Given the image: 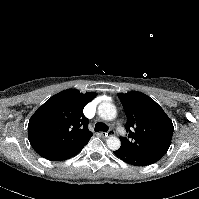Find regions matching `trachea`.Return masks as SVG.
I'll return each mask as SVG.
<instances>
[{
  "label": "trachea",
  "instance_id": "trachea-1",
  "mask_svg": "<svg viewBox=\"0 0 199 199\" xmlns=\"http://www.w3.org/2000/svg\"><path fill=\"white\" fill-rule=\"evenodd\" d=\"M108 129H109V127L102 122H98L95 125V132H99V131L107 132Z\"/></svg>",
  "mask_w": 199,
  "mask_h": 199
}]
</instances>
